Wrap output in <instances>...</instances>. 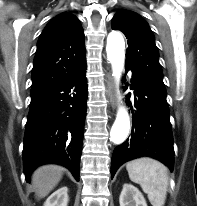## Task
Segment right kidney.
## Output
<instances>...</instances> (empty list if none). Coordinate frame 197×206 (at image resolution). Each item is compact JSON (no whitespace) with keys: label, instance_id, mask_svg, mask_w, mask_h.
Wrapping results in <instances>:
<instances>
[{"label":"right kidney","instance_id":"obj_1","mask_svg":"<svg viewBox=\"0 0 197 206\" xmlns=\"http://www.w3.org/2000/svg\"><path fill=\"white\" fill-rule=\"evenodd\" d=\"M68 200V188L62 187L52 193L43 206H67Z\"/></svg>","mask_w":197,"mask_h":206}]
</instances>
